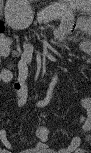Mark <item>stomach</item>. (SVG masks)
I'll use <instances>...</instances> for the list:
<instances>
[{
	"instance_id": "1",
	"label": "stomach",
	"mask_w": 91,
	"mask_h": 153,
	"mask_svg": "<svg viewBox=\"0 0 91 153\" xmlns=\"http://www.w3.org/2000/svg\"><path fill=\"white\" fill-rule=\"evenodd\" d=\"M69 4L73 9H81L84 6H88L89 1H86V0H70Z\"/></svg>"
}]
</instances>
